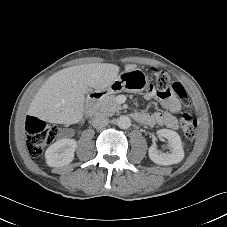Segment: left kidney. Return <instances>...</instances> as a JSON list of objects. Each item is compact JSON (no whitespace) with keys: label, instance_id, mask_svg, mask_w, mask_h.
Returning <instances> with one entry per match:
<instances>
[{"label":"left kidney","instance_id":"1","mask_svg":"<svg viewBox=\"0 0 227 227\" xmlns=\"http://www.w3.org/2000/svg\"><path fill=\"white\" fill-rule=\"evenodd\" d=\"M157 135L168 140L170 153H164L152 145L148 151L149 158L159 165H172L181 162L184 158V150L178 133L169 129H160L157 131Z\"/></svg>","mask_w":227,"mask_h":227}]
</instances>
